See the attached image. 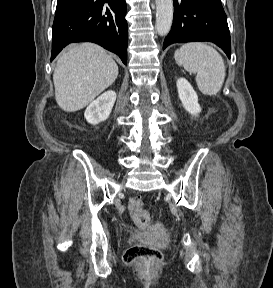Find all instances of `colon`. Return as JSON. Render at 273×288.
Returning a JSON list of instances; mask_svg holds the SVG:
<instances>
[{
    "label": "colon",
    "instance_id": "5ec220e1",
    "mask_svg": "<svg viewBox=\"0 0 273 288\" xmlns=\"http://www.w3.org/2000/svg\"><path fill=\"white\" fill-rule=\"evenodd\" d=\"M128 209L134 222L139 227L146 228L152 224V218L144 209V204L140 197L131 198L128 204ZM161 258L162 253L157 248L148 246L141 241L135 242L124 254V260L126 263L143 260L148 265H154L158 263Z\"/></svg>",
    "mask_w": 273,
    "mask_h": 288
}]
</instances>
